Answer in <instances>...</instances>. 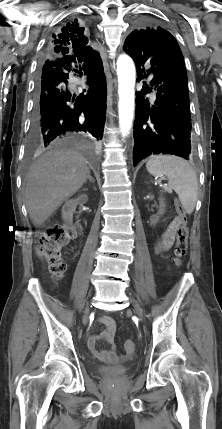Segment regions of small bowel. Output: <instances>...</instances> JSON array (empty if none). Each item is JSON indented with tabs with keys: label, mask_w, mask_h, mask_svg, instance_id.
Returning <instances> with one entry per match:
<instances>
[{
	"label": "small bowel",
	"mask_w": 222,
	"mask_h": 429,
	"mask_svg": "<svg viewBox=\"0 0 222 429\" xmlns=\"http://www.w3.org/2000/svg\"><path fill=\"white\" fill-rule=\"evenodd\" d=\"M178 226L179 220L178 217H176L162 234L157 244L158 252L167 250L172 246ZM99 321L103 325L104 330L99 335H92L88 338L87 345L89 350L95 358L107 364H117L119 361L125 360L124 357L120 358L116 352V345L114 342L116 326L114 320L109 316H102ZM99 341L106 342L111 348L108 350L98 349L97 344Z\"/></svg>",
	"instance_id": "obj_1"
}]
</instances>
